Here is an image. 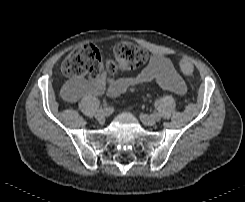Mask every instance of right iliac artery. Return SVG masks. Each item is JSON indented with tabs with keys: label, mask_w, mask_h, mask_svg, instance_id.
Returning a JSON list of instances; mask_svg holds the SVG:
<instances>
[{
	"label": "right iliac artery",
	"mask_w": 245,
	"mask_h": 202,
	"mask_svg": "<svg viewBox=\"0 0 245 202\" xmlns=\"http://www.w3.org/2000/svg\"><path fill=\"white\" fill-rule=\"evenodd\" d=\"M104 110H106L108 113H112L114 108L113 107H110V106H105L104 107Z\"/></svg>",
	"instance_id": "obj_1"
}]
</instances>
